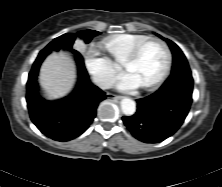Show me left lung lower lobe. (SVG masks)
Instances as JSON below:
<instances>
[{"label":"left lung lower lobe","instance_id":"left-lung-lower-lobe-1","mask_svg":"<svg viewBox=\"0 0 222 187\" xmlns=\"http://www.w3.org/2000/svg\"><path fill=\"white\" fill-rule=\"evenodd\" d=\"M193 78L190 70L170 76L155 93L137 99V110L124 116L132 135L145 143H159L183 124L192 103Z\"/></svg>","mask_w":222,"mask_h":187}]
</instances>
